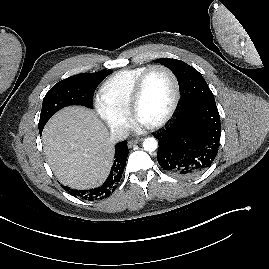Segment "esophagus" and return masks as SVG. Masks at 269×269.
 I'll return each mask as SVG.
<instances>
[{"mask_svg": "<svg viewBox=\"0 0 269 269\" xmlns=\"http://www.w3.org/2000/svg\"><path fill=\"white\" fill-rule=\"evenodd\" d=\"M141 141H142L141 138L131 139V140L128 141V147L132 148L134 145H136L137 143H139Z\"/></svg>", "mask_w": 269, "mask_h": 269, "instance_id": "obj_1", "label": "esophagus"}]
</instances>
